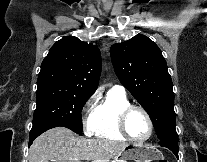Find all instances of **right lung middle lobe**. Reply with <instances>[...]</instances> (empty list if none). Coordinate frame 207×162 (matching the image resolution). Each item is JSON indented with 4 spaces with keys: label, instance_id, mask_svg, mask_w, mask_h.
<instances>
[{
    "label": "right lung middle lobe",
    "instance_id": "obj_1",
    "mask_svg": "<svg viewBox=\"0 0 207 162\" xmlns=\"http://www.w3.org/2000/svg\"><path fill=\"white\" fill-rule=\"evenodd\" d=\"M37 107L33 127L41 125L62 126L77 134L82 133L81 110L90 95L58 88L37 89Z\"/></svg>",
    "mask_w": 207,
    "mask_h": 162
}]
</instances>
